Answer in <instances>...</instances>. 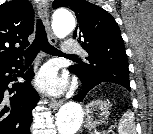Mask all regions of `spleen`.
Returning a JSON list of instances; mask_svg holds the SVG:
<instances>
[{
  "label": "spleen",
  "instance_id": "obj_1",
  "mask_svg": "<svg viewBox=\"0 0 153 134\" xmlns=\"http://www.w3.org/2000/svg\"><path fill=\"white\" fill-rule=\"evenodd\" d=\"M118 134H135L134 113L126 111L119 121Z\"/></svg>",
  "mask_w": 153,
  "mask_h": 134
}]
</instances>
